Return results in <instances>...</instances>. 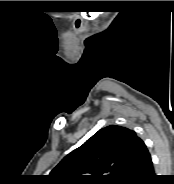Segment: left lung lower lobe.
<instances>
[{"instance_id":"0a47b994","label":"left lung lower lobe","mask_w":174,"mask_h":184,"mask_svg":"<svg viewBox=\"0 0 174 184\" xmlns=\"http://www.w3.org/2000/svg\"><path fill=\"white\" fill-rule=\"evenodd\" d=\"M155 178L151 156L142 141L123 184H152Z\"/></svg>"}]
</instances>
